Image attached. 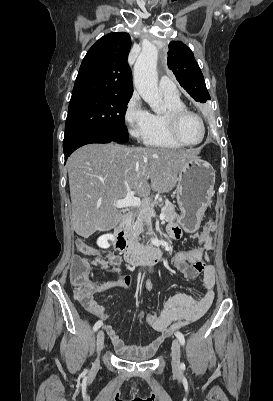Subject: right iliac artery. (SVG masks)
I'll return each mask as SVG.
<instances>
[{
  "mask_svg": "<svg viewBox=\"0 0 273 401\" xmlns=\"http://www.w3.org/2000/svg\"><path fill=\"white\" fill-rule=\"evenodd\" d=\"M102 324H103L102 320H98V321L95 323V325H94V327H93V330H94V331H97V330L102 326Z\"/></svg>",
  "mask_w": 273,
  "mask_h": 401,
  "instance_id": "82829eb1",
  "label": "right iliac artery"
}]
</instances>
